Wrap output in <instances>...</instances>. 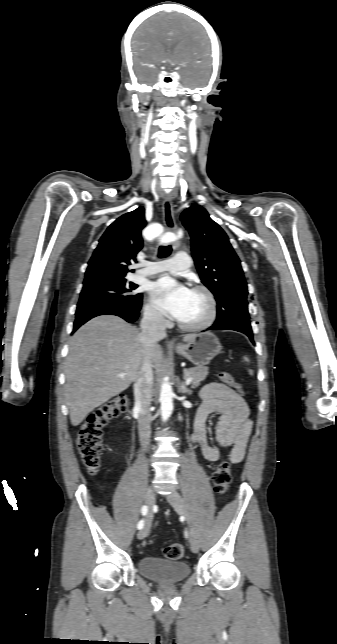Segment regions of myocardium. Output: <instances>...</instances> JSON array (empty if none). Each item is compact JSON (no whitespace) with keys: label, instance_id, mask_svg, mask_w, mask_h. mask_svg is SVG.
I'll return each instance as SVG.
<instances>
[{"label":"myocardium","instance_id":"obj_1","mask_svg":"<svg viewBox=\"0 0 337 644\" xmlns=\"http://www.w3.org/2000/svg\"><path fill=\"white\" fill-rule=\"evenodd\" d=\"M192 291L196 293H200L205 297L208 305V313L204 318V320H202L199 323L185 324L177 320V325L179 328L185 331H190V332L203 331L208 329L210 326H212L217 318V314H218L217 301L212 291L204 285H196L192 288Z\"/></svg>","mask_w":337,"mask_h":644}]
</instances>
